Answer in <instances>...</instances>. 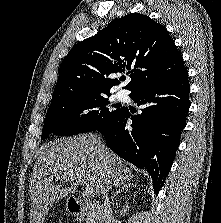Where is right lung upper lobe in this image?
<instances>
[{"instance_id":"1","label":"right lung upper lobe","mask_w":221,"mask_h":223,"mask_svg":"<svg viewBox=\"0 0 221 223\" xmlns=\"http://www.w3.org/2000/svg\"><path fill=\"white\" fill-rule=\"evenodd\" d=\"M185 69L181 53L164 26L132 13L77 43L63 59L52 100L109 93L120 82L113 73L130 71L125 89L162 82Z\"/></svg>"}]
</instances>
